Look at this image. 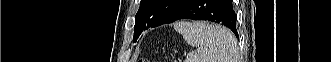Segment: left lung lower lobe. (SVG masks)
Wrapping results in <instances>:
<instances>
[{
	"mask_svg": "<svg viewBox=\"0 0 331 62\" xmlns=\"http://www.w3.org/2000/svg\"><path fill=\"white\" fill-rule=\"evenodd\" d=\"M179 19L208 20L219 23L231 29L238 37L232 0H184L164 24ZM148 28H150L148 24L140 26L133 41H137L139 35Z\"/></svg>",
	"mask_w": 331,
	"mask_h": 62,
	"instance_id": "left-lung-lower-lobe-1",
	"label": "left lung lower lobe"
}]
</instances>
